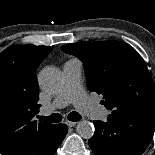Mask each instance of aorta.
Here are the masks:
<instances>
[{
    "mask_svg": "<svg viewBox=\"0 0 155 155\" xmlns=\"http://www.w3.org/2000/svg\"><path fill=\"white\" fill-rule=\"evenodd\" d=\"M38 80L42 89L48 93H56L62 86V74L55 67L43 68L39 73ZM76 130L81 137L89 139L94 135L95 128L89 121L82 120L77 124Z\"/></svg>",
    "mask_w": 155,
    "mask_h": 155,
    "instance_id": "1",
    "label": "aorta"
}]
</instances>
